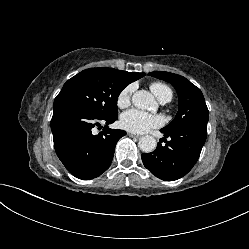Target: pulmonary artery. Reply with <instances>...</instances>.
<instances>
[{
    "label": "pulmonary artery",
    "mask_w": 249,
    "mask_h": 249,
    "mask_svg": "<svg viewBox=\"0 0 249 249\" xmlns=\"http://www.w3.org/2000/svg\"><path fill=\"white\" fill-rule=\"evenodd\" d=\"M169 101H170L169 98H162V99L159 100V102H160L161 104H166V103H168Z\"/></svg>",
    "instance_id": "obj_1"
}]
</instances>
